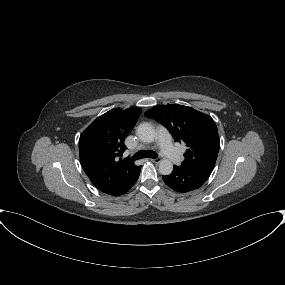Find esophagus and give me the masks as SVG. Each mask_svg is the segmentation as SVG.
Listing matches in <instances>:
<instances>
[{
	"label": "esophagus",
	"mask_w": 285,
	"mask_h": 285,
	"mask_svg": "<svg viewBox=\"0 0 285 285\" xmlns=\"http://www.w3.org/2000/svg\"><path fill=\"white\" fill-rule=\"evenodd\" d=\"M152 162L154 163H159L160 162V159L159 158H153V159H150Z\"/></svg>",
	"instance_id": "34e87169"
}]
</instances>
